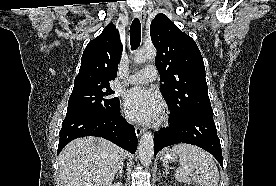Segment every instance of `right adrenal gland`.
<instances>
[{
    "instance_id": "2a0ac1e0",
    "label": "right adrenal gland",
    "mask_w": 276,
    "mask_h": 186,
    "mask_svg": "<svg viewBox=\"0 0 276 186\" xmlns=\"http://www.w3.org/2000/svg\"><path fill=\"white\" fill-rule=\"evenodd\" d=\"M123 168L124 166L122 165L119 169V172L117 173L116 177L118 178L119 176L122 177L123 176Z\"/></svg>"
}]
</instances>
